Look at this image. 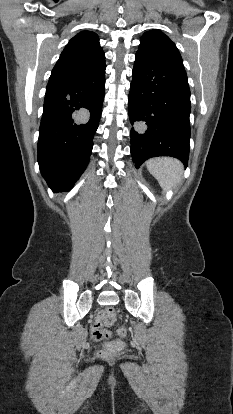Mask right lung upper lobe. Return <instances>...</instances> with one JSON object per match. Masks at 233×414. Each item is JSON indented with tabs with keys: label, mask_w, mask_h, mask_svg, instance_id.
Here are the masks:
<instances>
[{
	"label": "right lung upper lobe",
	"mask_w": 233,
	"mask_h": 414,
	"mask_svg": "<svg viewBox=\"0 0 233 414\" xmlns=\"http://www.w3.org/2000/svg\"><path fill=\"white\" fill-rule=\"evenodd\" d=\"M105 66L104 52L96 33L84 31L74 36L64 48L52 70L57 76H79Z\"/></svg>",
	"instance_id": "right-lung-upper-lobe-1"
}]
</instances>
